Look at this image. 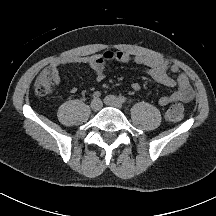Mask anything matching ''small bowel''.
<instances>
[{"instance_id":"small-bowel-1","label":"small bowel","mask_w":216,"mask_h":216,"mask_svg":"<svg viewBox=\"0 0 216 216\" xmlns=\"http://www.w3.org/2000/svg\"><path fill=\"white\" fill-rule=\"evenodd\" d=\"M135 63L146 68V74L154 81L167 87H176L177 91L171 95L161 96L158 100L160 106H167L173 102L188 103L194 97L193 89L187 76L176 64H171L163 59L146 54H131L125 51H106L104 53L91 56L65 57L53 60L44 71H50L54 76L55 84L61 82L60 68L68 65H86L94 73L95 81L100 82L105 78L106 65L108 62ZM169 72L176 74L173 78ZM135 92L141 90V85L137 82L131 84ZM70 93H75L76 89L71 88Z\"/></svg>"}]
</instances>
